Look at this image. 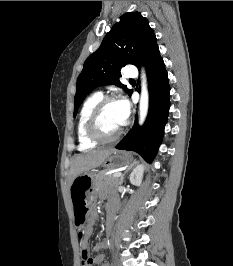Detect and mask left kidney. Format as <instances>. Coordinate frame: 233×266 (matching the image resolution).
<instances>
[{
	"mask_svg": "<svg viewBox=\"0 0 233 266\" xmlns=\"http://www.w3.org/2000/svg\"><path fill=\"white\" fill-rule=\"evenodd\" d=\"M143 172H144V166L138 165L131 173L130 175V182L133 185L140 186L142 183L143 178Z\"/></svg>",
	"mask_w": 233,
	"mask_h": 266,
	"instance_id": "left-kidney-1",
	"label": "left kidney"
}]
</instances>
